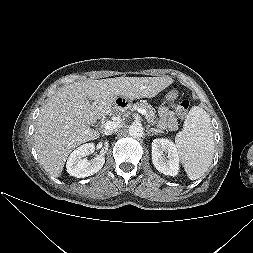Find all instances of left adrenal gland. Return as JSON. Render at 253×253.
Returning a JSON list of instances; mask_svg holds the SVG:
<instances>
[{"label":"left adrenal gland","instance_id":"a2214340","mask_svg":"<svg viewBox=\"0 0 253 253\" xmlns=\"http://www.w3.org/2000/svg\"><path fill=\"white\" fill-rule=\"evenodd\" d=\"M147 131H148V133L150 134V133H152V134H158V133H163L161 130H157V129H155V128H147Z\"/></svg>","mask_w":253,"mask_h":253}]
</instances>
